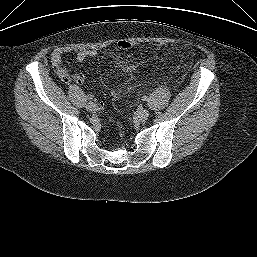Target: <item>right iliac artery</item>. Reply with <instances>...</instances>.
Returning <instances> with one entry per match:
<instances>
[{
	"mask_svg": "<svg viewBox=\"0 0 257 257\" xmlns=\"http://www.w3.org/2000/svg\"><path fill=\"white\" fill-rule=\"evenodd\" d=\"M87 99H88V100H92L93 98H92L91 95H87Z\"/></svg>",
	"mask_w": 257,
	"mask_h": 257,
	"instance_id": "1",
	"label": "right iliac artery"
}]
</instances>
